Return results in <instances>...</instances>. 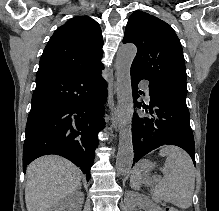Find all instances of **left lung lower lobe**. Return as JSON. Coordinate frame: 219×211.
I'll use <instances>...</instances> for the list:
<instances>
[{
  "instance_id": "0a47b994",
  "label": "left lung lower lobe",
  "mask_w": 219,
  "mask_h": 211,
  "mask_svg": "<svg viewBox=\"0 0 219 211\" xmlns=\"http://www.w3.org/2000/svg\"><path fill=\"white\" fill-rule=\"evenodd\" d=\"M148 80L146 76L131 71L134 106L144 110L151 117H141L136 112L132 120L134 163L150 151L164 145L183 148L195 164V145L190 115L186 103L149 84L147 103L137 99L144 94L138 91V83ZM145 123V126L143 125Z\"/></svg>"
}]
</instances>
